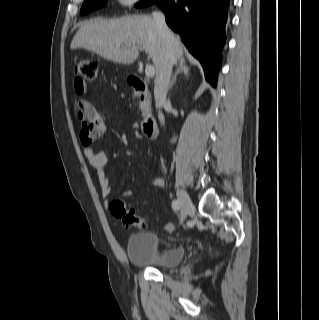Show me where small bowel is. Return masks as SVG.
<instances>
[{"label":"small bowel","instance_id":"1","mask_svg":"<svg viewBox=\"0 0 319 320\" xmlns=\"http://www.w3.org/2000/svg\"><path fill=\"white\" fill-rule=\"evenodd\" d=\"M74 89L76 94L83 95L86 90V86L79 85L74 82ZM77 105L78 114L83 115L88 120L91 130L96 137L95 140L100 138L105 132V124L99 112L92 104L84 99H80ZM84 155L89 164L96 170V178L100 188V195L103 198H107L112 191L110 180L104 172V168L107 164V155L102 151L96 150L91 145H87L84 148ZM150 186L153 188H162L164 186V180L160 177H156L152 179ZM124 195L126 197L131 196L132 191L127 190L124 192Z\"/></svg>","mask_w":319,"mask_h":320}]
</instances>
